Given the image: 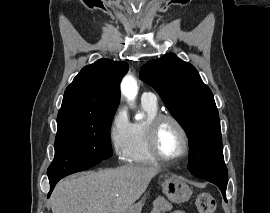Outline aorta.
Returning a JSON list of instances; mask_svg holds the SVG:
<instances>
[{
    "instance_id": "762f6f07",
    "label": "aorta",
    "mask_w": 270,
    "mask_h": 213,
    "mask_svg": "<svg viewBox=\"0 0 270 213\" xmlns=\"http://www.w3.org/2000/svg\"><path fill=\"white\" fill-rule=\"evenodd\" d=\"M121 91L122 94L127 98L128 101L133 102L138 91V86L135 78L131 75H127L124 77L121 83ZM138 118H141L139 115Z\"/></svg>"
}]
</instances>
